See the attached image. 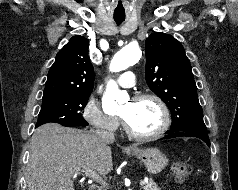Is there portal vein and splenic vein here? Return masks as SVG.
<instances>
[{
  "mask_svg": "<svg viewBox=\"0 0 238 190\" xmlns=\"http://www.w3.org/2000/svg\"><path fill=\"white\" fill-rule=\"evenodd\" d=\"M85 175L87 177H89L90 179H93L95 181H99V182H101L104 185L106 184L105 181L95 171L88 170V171L85 172ZM140 185L144 186L145 182H140Z\"/></svg>",
  "mask_w": 238,
  "mask_h": 190,
  "instance_id": "obj_1",
  "label": "portal vein and splenic vein"
}]
</instances>
